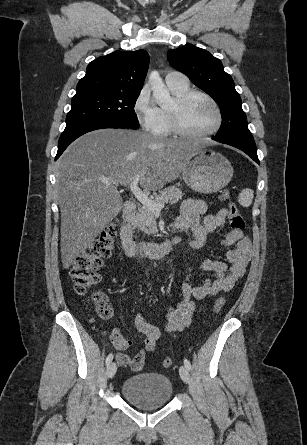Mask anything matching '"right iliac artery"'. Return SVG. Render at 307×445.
I'll return each instance as SVG.
<instances>
[{
	"label": "right iliac artery",
	"instance_id": "1",
	"mask_svg": "<svg viewBox=\"0 0 307 445\" xmlns=\"http://www.w3.org/2000/svg\"><path fill=\"white\" fill-rule=\"evenodd\" d=\"M112 360H113V354L110 353L106 358V365H109Z\"/></svg>",
	"mask_w": 307,
	"mask_h": 445
}]
</instances>
